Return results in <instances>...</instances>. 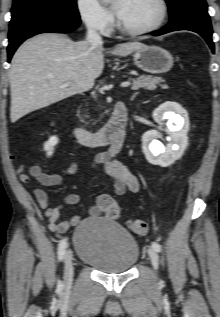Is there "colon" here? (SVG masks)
I'll return each mask as SVG.
<instances>
[{
  "instance_id": "colon-1",
  "label": "colon",
  "mask_w": 220,
  "mask_h": 317,
  "mask_svg": "<svg viewBox=\"0 0 220 317\" xmlns=\"http://www.w3.org/2000/svg\"><path fill=\"white\" fill-rule=\"evenodd\" d=\"M103 212L106 217L117 219L120 216V207L112 197H108L103 202ZM128 226L135 234L145 235L148 231L147 223L141 219L129 220Z\"/></svg>"
}]
</instances>
